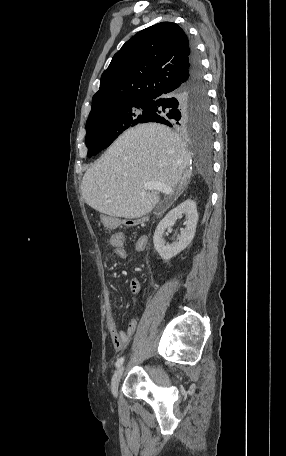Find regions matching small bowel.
Here are the masks:
<instances>
[{
  "instance_id": "1",
  "label": "small bowel",
  "mask_w": 286,
  "mask_h": 456,
  "mask_svg": "<svg viewBox=\"0 0 286 456\" xmlns=\"http://www.w3.org/2000/svg\"><path fill=\"white\" fill-rule=\"evenodd\" d=\"M111 236H114L117 238L116 242L111 241V237L109 240V244L112 248V253L115 258L117 259H125L127 257V251L124 247V237L121 233L117 232L112 234ZM147 237L145 236H140L135 244H134V250L136 252H142L146 246H147ZM130 289L133 294L137 295L141 291V284L140 281L137 278H133L130 282ZM107 310V329L110 335V338L112 340L113 346L115 350L121 351L125 345L128 343L130 338L133 336L135 333L137 327H138V322L139 318L136 317L132 319L128 325V328L126 331L119 330L114 318V315L111 310V306L108 304L106 307Z\"/></svg>"
}]
</instances>
